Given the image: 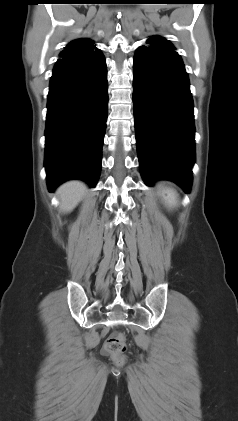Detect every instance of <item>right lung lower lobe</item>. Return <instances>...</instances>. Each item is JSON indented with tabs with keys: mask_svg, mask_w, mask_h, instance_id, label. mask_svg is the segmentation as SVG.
<instances>
[{
	"mask_svg": "<svg viewBox=\"0 0 238 421\" xmlns=\"http://www.w3.org/2000/svg\"><path fill=\"white\" fill-rule=\"evenodd\" d=\"M44 166L50 192L64 181H98L108 112L103 54L63 57L56 62L47 103Z\"/></svg>",
	"mask_w": 238,
	"mask_h": 421,
	"instance_id": "right-lung-lower-lobe-1",
	"label": "right lung lower lobe"
}]
</instances>
